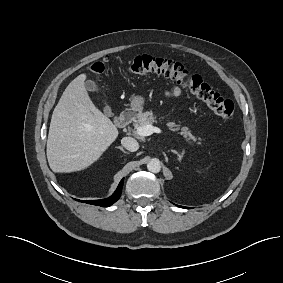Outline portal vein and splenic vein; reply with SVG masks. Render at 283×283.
Instances as JSON below:
<instances>
[{"label":"portal vein and splenic vein","mask_w":283,"mask_h":283,"mask_svg":"<svg viewBox=\"0 0 283 283\" xmlns=\"http://www.w3.org/2000/svg\"><path fill=\"white\" fill-rule=\"evenodd\" d=\"M136 132L140 136H150L153 133H161V130L152 125H146L138 127Z\"/></svg>","instance_id":"1"}]
</instances>
